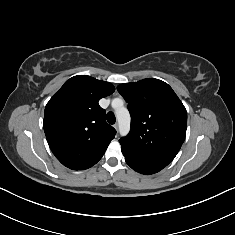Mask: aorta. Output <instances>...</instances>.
Segmentation results:
<instances>
[{
	"label": "aorta",
	"mask_w": 235,
	"mask_h": 235,
	"mask_svg": "<svg viewBox=\"0 0 235 235\" xmlns=\"http://www.w3.org/2000/svg\"><path fill=\"white\" fill-rule=\"evenodd\" d=\"M112 106L115 109V115L119 124V131L122 136H126L130 131V113L127 108L123 106V101L119 98L112 100Z\"/></svg>",
	"instance_id": "762f6f07"
}]
</instances>
